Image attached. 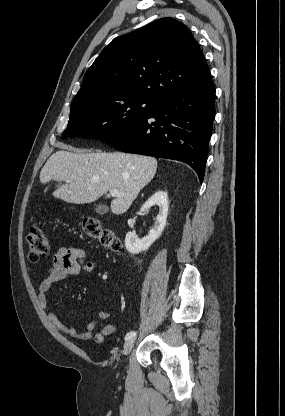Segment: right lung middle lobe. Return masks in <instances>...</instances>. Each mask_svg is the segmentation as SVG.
Segmentation results:
<instances>
[{
  "label": "right lung middle lobe",
  "mask_w": 285,
  "mask_h": 416,
  "mask_svg": "<svg viewBox=\"0 0 285 416\" xmlns=\"http://www.w3.org/2000/svg\"><path fill=\"white\" fill-rule=\"evenodd\" d=\"M158 104L141 97H124L71 110L63 138L104 139L124 131L144 118Z\"/></svg>",
  "instance_id": "right-lung-middle-lobe-1"
}]
</instances>
